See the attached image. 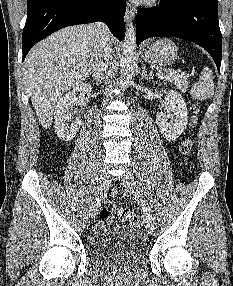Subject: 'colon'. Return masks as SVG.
Returning <instances> with one entry per match:
<instances>
[{
  "label": "colon",
  "instance_id": "obj_1",
  "mask_svg": "<svg viewBox=\"0 0 233 286\" xmlns=\"http://www.w3.org/2000/svg\"><path fill=\"white\" fill-rule=\"evenodd\" d=\"M192 116H191V126H194L196 123V113L198 112V107L196 105H192L191 107ZM192 142L190 139H186L181 147L182 153L184 155H188L191 152ZM115 204L111 201L106 202L100 209V218H112L115 214ZM117 216L119 220L123 222H128L134 227H140L141 221L139 217L134 214L129 209H120L117 212Z\"/></svg>",
  "mask_w": 233,
  "mask_h": 286
}]
</instances>
